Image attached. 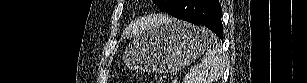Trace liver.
Returning <instances> with one entry per match:
<instances>
[{
    "label": "liver",
    "mask_w": 307,
    "mask_h": 83,
    "mask_svg": "<svg viewBox=\"0 0 307 83\" xmlns=\"http://www.w3.org/2000/svg\"><path fill=\"white\" fill-rule=\"evenodd\" d=\"M166 20V19H165ZM168 20V19H167ZM139 29V25L138 24H134L133 26L129 27L128 30L126 31V34L130 35V34H136V31H138Z\"/></svg>",
    "instance_id": "1"
}]
</instances>
